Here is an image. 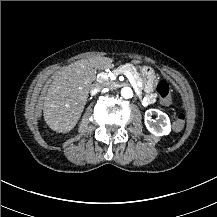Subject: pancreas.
Here are the masks:
<instances>
[{"instance_id":"pancreas-1","label":"pancreas","mask_w":217,"mask_h":217,"mask_svg":"<svg viewBox=\"0 0 217 217\" xmlns=\"http://www.w3.org/2000/svg\"><path fill=\"white\" fill-rule=\"evenodd\" d=\"M132 67L133 66L131 65V63H125L123 65H120V67H118L115 71L118 73L122 69H124V70L126 69V70L130 71L136 77V79H135L136 82L137 81L141 82L142 81L141 77L136 73V71L134 69H132Z\"/></svg>"}]
</instances>
